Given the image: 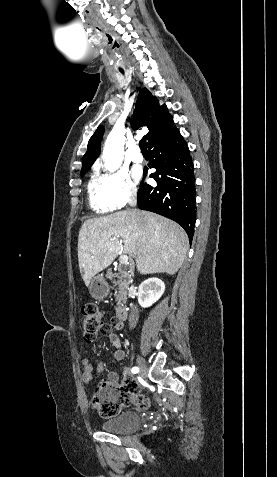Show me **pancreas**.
<instances>
[{
	"mask_svg": "<svg viewBox=\"0 0 277 477\" xmlns=\"http://www.w3.org/2000/svg\"><path fill=\"white\" fill-rule=\"evenodd\" d=\"M111 278H117V281H113L114 286L118 287V290L115 292V296L117 299V307L116 309L120 308L121 302H125L127 298V291L129 287V279L126 277V273L122 270L119 271L118 274L110 275Z\"/></svg>",
	"mask_w": 277,
	"mask_h": 477,
	"instance_id": "1",
	"label": "pancreas"
}]
</instances>
